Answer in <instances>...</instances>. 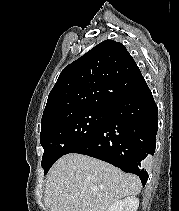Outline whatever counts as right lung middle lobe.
Returning a JSON list of instances; mask_svg holds the SVG:
<instances>
[{
  "instance_id": "1",
  "label": "right lung middle lobe",
  "mask_w": 179,
  "mask_h": 211,
  "mask_svg": "<svg viewBox=\"0 0 179 211\" xmlns=\"http://www.w3.org/2000/svg\"><path fill=\"white\" fill-rule=\"evenodd\" d=\"M109 108H91L60 117L41 129L44 174L63 155L88 142L105 122Z\"/></svg>"
}]
</instances>
